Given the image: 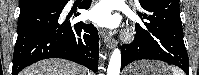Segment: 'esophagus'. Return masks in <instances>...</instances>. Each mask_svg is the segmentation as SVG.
Instances as JSON below:
<instances>
[{
	"label": "esophagus",
	"mask_w": 199,
	"mask_h": 75,
	"mask_svg": "<svg viewBox=\"0 0 199 75\" xmlns=\"http://www.w3.org/2000/svg\"><path fill=\"white\" fill-rule=\"evenodd\" d=\"M104 43L109 48L112 49L114 47V39L111 37V34L108 32L103 33Z\"/></svg>",
	"instance_id": "esophagus-1"
}]
</instances>
